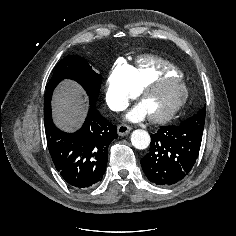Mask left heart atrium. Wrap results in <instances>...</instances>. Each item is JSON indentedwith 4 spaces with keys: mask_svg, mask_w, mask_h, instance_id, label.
<instances>
[{
    "mask_svg": "<svg viewBox=\"0 0 236 236\" xmlns=\"http://www.w3.org/2000/svg\"><path fill=\"white\" fill-rule=\"evenodd\" d=\"M148 115L147 110L142 104L133 107L126 115L127 119L131 121H139Z\"/></svg>",
    "mask_w": 236,
    "mask_h": 236,
    "instance_id": "left-heart-atrium-1",
    "label": "left heart atrium"
}]
</instances>
